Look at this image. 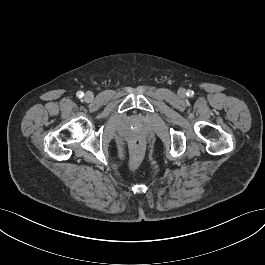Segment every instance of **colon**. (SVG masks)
<instances>
[{"mask_svg":"<svg viewBox=\"0 0 265 265\" xmlns=\"http://www.w3.org/2000/svg\"><path fill=\"white\" fill-rule=\"evenodd\" d=\"M143 154L144 150L142 143L139 140H134L131 143L130 166L131 167L137 166L141 162Z\"/></svg>","mask_w":265,"mask_h":265,"instance_id":"obj_1","label":"colon"}]
</instances>
